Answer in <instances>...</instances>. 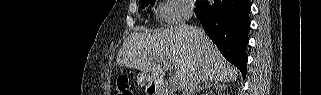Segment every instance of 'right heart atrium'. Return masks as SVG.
Masks as SVG:
<instances>
[{
    "mask_svg": "<svg viewBox=\"0 0 321 95\" xmlns=\"http://www.w3.org/2000/svg\"><path fill=\"white\" fill-rule=\"evenodd\" d=\"M192 13V2L189 0H167L158 6L161 20L167 24L187 20Z\"/></svg>",
    "mask_w": 321,
    "mask_h": 95,
    "instance_id": "d8ad5b80",
    "label": "right heart atrium"
}]
</instances>
